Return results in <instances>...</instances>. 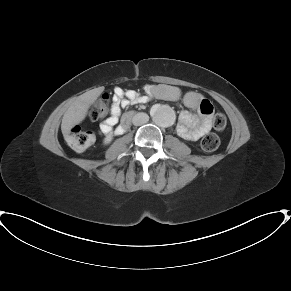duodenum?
Instances as JSON below:
<instances>
[{
    "mask_svg": "<svg viewBox=\"0 0 291 291\" xmlns=\"http://www.w3.org/2000/svg\"><path fill=\"white\" fill-rule=\"evenodd\" d=\"M135 115L134 112H127L124 114L123 116V121H122V124L120 126V128L124 131L128 128V123L129 121L132 119V117Z\"/></svg>",
    "mask_w": 291,
    "mask_h": 291,
    "instance_id": "obj_1",
    "label": "duodenum"
}]
</instances>
